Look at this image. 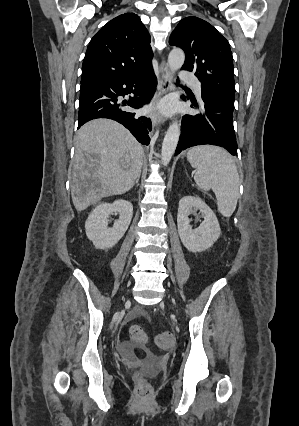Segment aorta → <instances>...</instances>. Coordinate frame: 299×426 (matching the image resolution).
Segmentation results:
<instances>
[{
	"mask_svg": "<svg viewBox=\"0 0 299 426\" xmlns=\"http://www.w3.org/2000/svg\"><path fill=\"white\" fill-rule=\"evenodd\" d=\"M185 61V54L180 48H173L168 56V65L172 74L179 70ZM180 137V123L174 121L168 128L161 149V162L167 166L175 152Z\"/></svg>",
	"mask_w": 299,
	"mask_h": 426,
	"instance_id": "1",
	"label": "aorta"
}]
</instances>
